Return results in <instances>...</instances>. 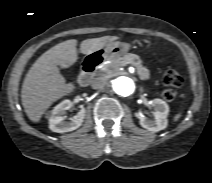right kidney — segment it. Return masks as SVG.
Here are the masks:
<instances>
[{"label":"right kidney","instance_id":"ca27d5eb","mask_svg":"<svg viewBox=\"0 0 212 183\" xmlns=\"http://www.w3.org/2000/svg\"><path fill=\"white\" fill-rule=\"evenodd\" d=\"M72 103L70 100H64L59 103L49 115V128L53 132L64 133L79 128L85 117V109L82 108L76 116L66 121V110L70 109Z\"/></svg>","mask_w":212,"mask_h":183}]
</instances>
